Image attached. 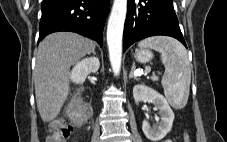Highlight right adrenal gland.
<instances>
[{"label":"right adrenal gland","instance_id":"1","mask_svg":"<svg viewBox=\"0 0 227 142\" xmlns=\"http://www.w3.org/2000/svg\"><path fill=\"white\" fill-rule=\"evenodd\" d=\"M92 53H93V55H95V54H96V52H95L94 50L92 51Z\"/></svg>","mask_w":227,"mask_h":142}]
</instances>
